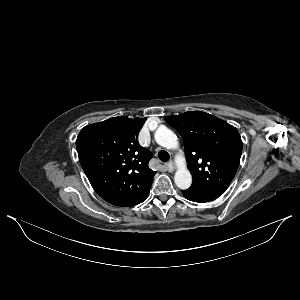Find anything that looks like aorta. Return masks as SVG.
I'll list each match as a JSON object with an SVG mask.
<instances>
[{"label":"aorta","instance_id":"1","mask_svg":"<svg viewBox=\"0 0 300 300\" xmlns=\"http://www.w3.org/2000/svg\"><path fill=\"white\" fill-rule=\"evenodd\" d=\"M155 141L162 147L171 149L178 144L177 136L166 127L159 128L155 133ZM174 181L179 189H188L192 184V176L184 162H181L174 176Z\"/></svg>","mask_w":300,"mask_h":300}]
</instances>
